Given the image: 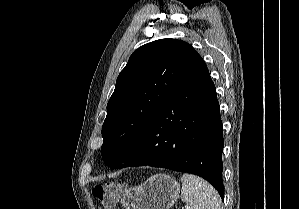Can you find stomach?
<instances>
[{
	"label": "stomach",
	"instance_id": "0dacf381",
	"mask_svg": "<svg viewBox=\"0 0 299 209\" xmlns=\"http://www.w3.org/2000/svg\"><path fill=\"white\" fill-rule=\"evenodd\" d=\"M180 185L166 174H155L130 188L122 197L125 209H170L178 200Z\"/></svg>",
	"mask_w": 299,
	"mask_h": 209
}]
</instances>
